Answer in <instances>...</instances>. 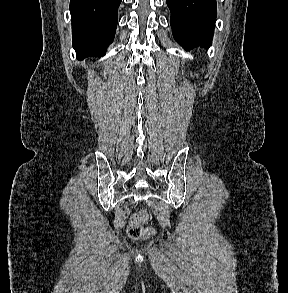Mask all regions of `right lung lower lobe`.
<instances>
[{"instance_id": "1", "label": "right lung lower lobe", "mask_w": 288, "mask_h": 293, "mask_svg": "<svg viewBox=\"0 0 288 293\" xmlns=\"http://www.w3.org/2000/svg\"><path fill=\"white\" fill-rule=\"evenodd\" d=\"M121 0H70L73 47L78 59L103 56L116 32Z\"/></svg>"}]
</instances>
